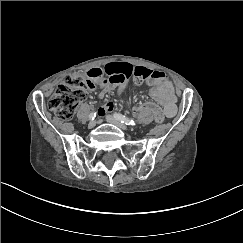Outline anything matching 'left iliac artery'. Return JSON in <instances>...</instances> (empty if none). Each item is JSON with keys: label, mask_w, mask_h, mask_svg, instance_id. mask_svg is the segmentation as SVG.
I'll return each mask as SVG.
<instances>
[{"label": "left iliac artery", "mask_w": 243, "mask_h": 243, "mask_svg": "<svg viewBox=\"0 0 243 243\" xmlns=\"http://www.w3.org/2000/svg\"><path fill=\"white\" fill-rule=\"evenodd\" d=\"M114 117H115L117 120H119L121 123H124V124H126V125H132V126L136 125V123H135L134 120L129 119L128 117H126V116H124V115H122V114H120V113H115V114H114Z\"/></svg>", "instance_id": "left-iliac-artery-1"}]
</instances>
